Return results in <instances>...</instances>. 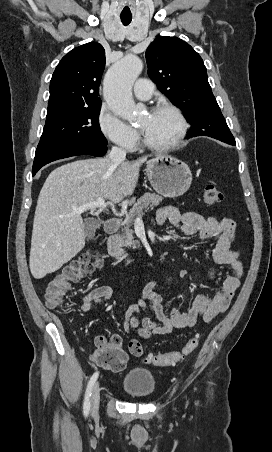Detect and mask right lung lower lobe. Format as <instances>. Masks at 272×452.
<instances>
[{"mask_svg":"<svg viewBox=\"0 0 272 452\" xmlns=\"http://www.w3.org/2000/svg\"><path fill=\"white\" fill-rule=\"evenodd\" d=\"M106 152H107L106 145L92 146L82 143H74L59 147L37 148L32 168V175L34 176L37 173V171L44 165L58 159L78 155H92L95 157H101Z\"/></svg>","mask_w":272,"mask_h":452,"instance_id":"right-lung-lower-lobe-1","label":"right lung lower lobe"}]
</instances>
